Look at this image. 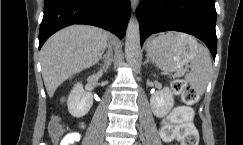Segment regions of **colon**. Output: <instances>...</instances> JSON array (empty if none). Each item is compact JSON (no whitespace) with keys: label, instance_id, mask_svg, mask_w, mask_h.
<instances>
[{"label":"colon","instance_id":"colon-1","mask_svg":"<svg viewBox=\"0 0 243 145\" xmlns=\"http://www.w3.org/2000/svg\"><path fill=\"white\" fill-rule=\"evenodd\" d=\"M172 90L181 96L184 106L177 107L165 118L160 126V135L164 141L177 139L181 145H198L199 135L192 123V110L190 106L196 103L198 94L196 90L183 79L172 82ZM49 134L58 139L62 134V124L58 118H53L49 124Z\"/></svg>","mask_w":243,"mask_h":145}]
</instances>
